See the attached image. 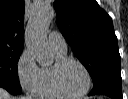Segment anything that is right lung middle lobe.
I'll use <instances>...</instances> for the list:
<instances>
[{"label":"right lung middle lobe","mask_w":128,"mask_h":99,"mask_svg":"<svg viewBox=\"0 0 128 99\" xmlns=\"http://www.w3.org/2000/svg\"><path fill=\"white\" fill-rule=\"evenodd\" d=\"M23 49L0 47V82L21 90L17 63Z\"/></svg>","instance_id":"right-lung-middle-lobe-1"}]
</instances>
